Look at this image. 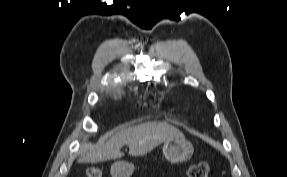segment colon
I'll list each match as a JSON object with an SVG mask.
<instances>
[{"mask_svg": "<svg viewBox=\"0 0 287 177\" xmlns=\"http://www.w3.org/2000/svg\"><path fill=\"white\" fill-rule=\"evenodd\" d=\"M210 166L206 162H198L188 170V177H210ZM105 170L103 166H95L88 169L86 177H104Z\"/></svg>", "mask_w": 287, "mask_h": 177, "instance_id": "colon-1", "label": "colon"}]
</instances>
